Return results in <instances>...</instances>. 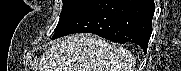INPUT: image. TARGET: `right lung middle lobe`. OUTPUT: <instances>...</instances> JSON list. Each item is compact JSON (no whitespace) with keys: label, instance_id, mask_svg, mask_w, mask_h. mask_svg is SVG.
Instances as JSON below:
<instances>
[{"label":"right lung middle lobe","instance_id":"dd1d6c3e","mask_svg":"<svg viewBox=\"0 0 181 71\" xmlns=\"http://www.w3.org/2000/svg\"><path fill=\"white\" fill-rule=\"evenodd\" d=\"M94 0H63L62 12L55 31L71 21L80 11L85 9Z\"/></svg>","mask_w":181,"mask_h":71}]
</instances>
